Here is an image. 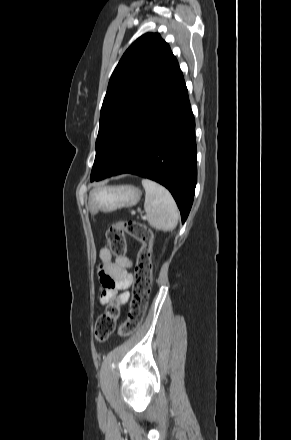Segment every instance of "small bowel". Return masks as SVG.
I'll list each match as a JSON object with an SVG mask.
<instances>
[{
  "label": "small bowel",
  "mask_w": 291,
  "mask_h": 440,
  "mask_svg": "<svg viewBox=\"0 0 291 440\" xmlns=\"http://www.w3.org/2000/svg\"><path fill=\"white\" fill-rule=\"evenodd\" d=\"M101 266L99 269V275L101 282L104 286L109 279H114L117 289L124 290L118 297L119 304L126 303L129 299L128 288L132 284V276L126 271V269L132 266V262L127 257L112 258L111 252L108 248H102L100 250ZM107 287V286H106ZM114 291L106 290L103 293L101 302L105 303L114 297Z\"/></svg>",
  "instance_id": "obj_1"
}]
</instances>
